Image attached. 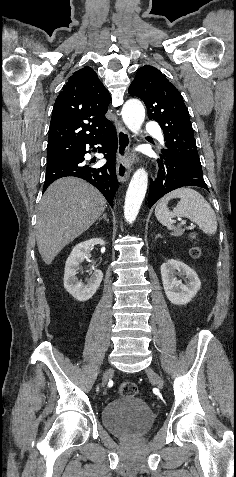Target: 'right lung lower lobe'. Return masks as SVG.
<instances>
[{"label":"right lung lower lobe","mask_w":236,"mask_h":477,"mask_svg":"<svg viewBox=\"0 0 236 477\" xmlns=\"http://www.w3.org/2000/svg\"><path fill=\"white\" fill-rule=\"evenodd\" d=\"M86 144L90 147L100 145L98 152L103 153L107 163L99 168H93L84 161ZM118 147L117 133L111 123L103 131L96 134L83 143L67 159L53 165H47L43 191L56 179L66 176L82 178L94 185L113 206V198L118 189V181L115 170V156Z\"/></svg>","instance_id":"obj_1"}]
</instances>
